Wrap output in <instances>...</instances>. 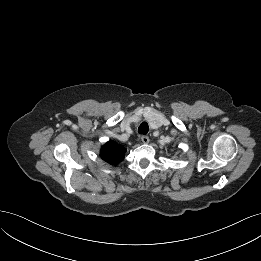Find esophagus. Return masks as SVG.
Here are the masks:
<instances>
[{
  "label": "esophagus",
  "instance_id": "esophagus-1",
  "mask_svg": "<svg viewBox=\"0 0 261 261\" xmlns=\"http://www.w3.org/2000/svg\"><path fill=\"white\" fill-rule=\"evenodd\" d=\"M140 139H141L142 143H144V144L149 143V137L146 135L141 136Z\"/></svg>",
  "mask_w": 261,
  "mask_h": 261
}]
</instances>
